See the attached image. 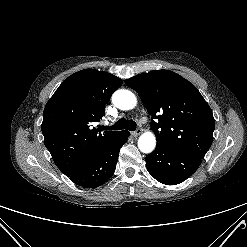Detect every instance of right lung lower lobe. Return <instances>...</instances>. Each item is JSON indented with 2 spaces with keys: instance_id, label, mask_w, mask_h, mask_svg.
I'll return each instance as SVG.
<instances>
[{
  "instance_id": "1",
  "label": "right lung lower lobe",
  "mask_w": 247,
  "mask_h": 247,
  "mask_svg": "<svg viewBox=\"0 0 247 247\" xmlns=\"http://www.w3.org/2000/svg\"><path fill=\"white\" fill-rule=\"evenodd\" d=\"M130 133L121 131L110 143L96 152L83 166L68 176L84 188H95L105 183L114 173L119 150Z\"/></svg>"
}]
</instances>
